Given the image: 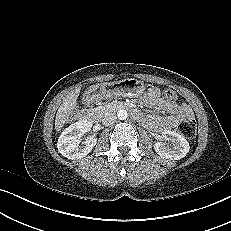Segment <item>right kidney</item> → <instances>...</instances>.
<instances>
[{
    "label": "right kidney",
    "instance_id": "1",
    "mask_svg": "<svg viewBox=\"0 0 231 231\" xmlns=\"http://www.w3.org/2000/svg\"><path fill=\"white\" fill-rule=\"evenodd\" d=\"M91 125L87 120H80L66 128L58 139L59 153L71 160L81 159L88 155L96 145L97 139L88 137L81 142V137L90 129Z\"/></svg>",
    "mask_w": 231,
    "mask_h": 231
}]
</instances>
